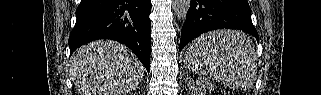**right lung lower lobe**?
<instances>
[{"instance_id":"obj_1","label":"right lung lower lobe","mask_w":321,"mask_h":95,"mask_svg":"<svg viewBox=\"0 0 321 95\" xmlns=\"http://www.w3.org/2000/svg\"><path fill=\"white\" fill-rule=\"evenodd\" d=\"M151 0H81L69 37L70 54L97 39L128 46L150 70Z\"/></svg>"}]
</instances>
